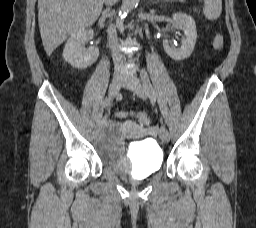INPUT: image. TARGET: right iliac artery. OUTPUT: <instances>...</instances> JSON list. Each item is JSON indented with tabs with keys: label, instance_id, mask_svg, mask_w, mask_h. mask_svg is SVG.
Instances as JSON below:
<instances>
[{
	"label": "right iliac artery",
	"instance_id": "82829eb1",
	"mask_svg": "<svg viewBox=\"0 0 256 228\" xmlns=\"http://www.w3.org/2000/svg\"><path fill=\"white\" fill-rule=\"evenodd\" d=\"M111 99L110 98H106L102 101L101 103V111L98 113L97 117H96V121H100L102 119L103 116V109L105 107H107L110 104Z\"/></svg>",
	"mask_w": 256,
	"mask_h": 228
}]
</instances>
